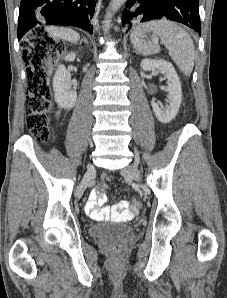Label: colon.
I'll return each mask as SVG.
<instances>
[{
	"mask_svg": "<svg viewBox=\"0 0 227 298\" xmlns=\"http://www.w3.org/2000/svg\"><path fill=\"white\" fill-rule=\"evenodd\" d=\"M38 36L32 38L34 44L24 47V58L27 69V114L25 123L30 132L38 141H47L49 138V111L52 91L48 82V74L43 60L49 53L53 41L43 31H36ZM106 183L98 186V191H105ZM135 207H143V202H134ZM125 250L124 245L116 244L111 247L112 253L119 255Z\"/></svg>",
	"mask_w": 227,
	"mask_h": 298,
	"instance_id": "colon-1",
	"label": "colon"
}]
</instances>
